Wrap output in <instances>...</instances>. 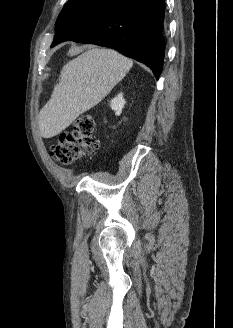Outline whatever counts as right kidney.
I'll use <instances>...</instances> for the list:
<instances>
[{
    "label": "right kidney",
    "mask_w": 233,
    "mask_h": 328,
    "mask_svg": "<svg viewBox=\"0 0 233 328\" xmlns=\"http://www.w3.org/2000/svg\"><path fill=\"white\" fill-rule=\"evenodd\" d=\"M125 103H126V101L123 98V94L120 93L111 100L110 107L112 110L115 111V114L119 116L122 112V109H123Z\"/></svg>",
    "instance_id": "1"
}]
</instances>
